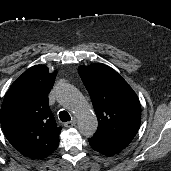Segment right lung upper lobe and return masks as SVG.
I'll use <instances>...</instances> for the list:
<instances>
[{
	"instance_id": "obj_1",
	"label": "right lung upper lobe",
	"mask_w": 171,
	"mask_h": 171,
	"mask_svg": "<svg viewBox=\"0 0 171 171\" xmlns=\"http://www.w3.org/2000/svg\"><path fill=\"white\" fill-rule=\"evenodd\" d=\"M57 72L36 65L17 78L6 92L0 111L3 132L12 146L31 159H44L59 145V133L48 107L47 93Z\"/></svg>"
}]
</instances>
